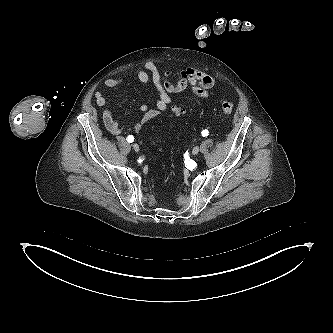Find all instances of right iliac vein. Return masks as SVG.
<instances>
[{"instance_id": "1", "label": "right iliac vein", "mask_w": 333, "mask_h": 333, "mask_svg": "<svg viewBox=\"0 0 333 333\" xmlns=\"http://www.w3.org/2000/svg\"><path fill=\"white\" fill-rule=\"evenodd\" d=\"M132 147H133V149H134L136 152L139 151V145H138V144L134 143V144L132 145Z\"/></svg>"}]
</instances>
